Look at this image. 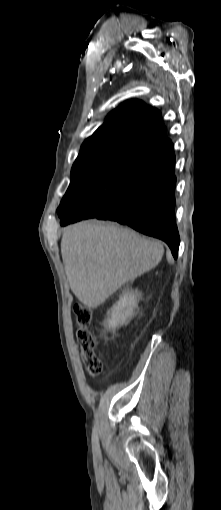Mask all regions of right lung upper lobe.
<instances>
[{
    "label": "right lung upper lobe",
    "mask_w": 221,
    "mask_h": 510,
    "mask_svg": "<svg viewBox=\"0 0 221 510\" xmlns=\"http://www.w3.org/2000/svg\"><path fill=\"white\" fill-rule=\"evenodd\" d=\"M170 143L160 111L142 101L128 100L84 141L77 159L127 148L153 153Z\"/></svg>",
    "instance_id": "1"
}]
</instances>
